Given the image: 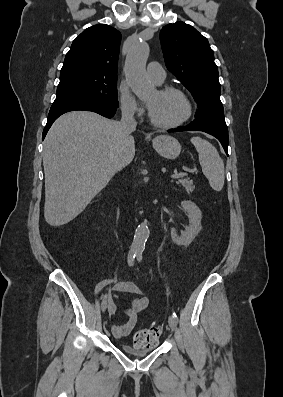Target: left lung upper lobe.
<instances>
[{
    "instance_id": "left-lung-upper-lobe-1",
    "label": "left lung upper lobe",
    "mask_w": 283,
    "mask_h": 397,
    "mask_svg": "<svg viewBox=\"0 0 283 397\" xmlns=\"http://www.w3.org/2000/svg\"><path fill=\"white\" fill-rule=\"evenodd\" d=\"M160 42L167 69L192 93L197 103L195 118L224 120L218 67L207 38L194 27L176 22L161 29Z\"/></svg>"
}]
</instances>
